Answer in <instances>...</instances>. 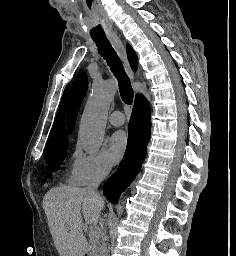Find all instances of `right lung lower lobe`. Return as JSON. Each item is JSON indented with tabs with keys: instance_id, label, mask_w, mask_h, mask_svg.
I'll use <instances>...</instances> for the list:
<instances>
[{
	"instance_id": "98d812e1",
	"label": "right lung lower lobe",
	"mask_w": 236,
	"mask_h": 256,
	"mask_svg": "<svg viewBox=\"0 0 236 256\" xmlns=\"http://www.w3.org/2000/svg\"><path fill=\"white\" fill-rule=\"evenodd\" d=\"M151 111L147 99L138 94L128 124L127 148L117 171L104 185L103 193L112 203L117 204L120 194L131 184L145 159L150 139Z\"/></svg>"
}]
</instances>
